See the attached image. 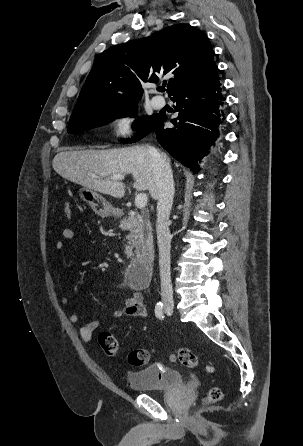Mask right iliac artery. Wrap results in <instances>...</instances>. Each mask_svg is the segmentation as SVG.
I'll return each instance as SVG.
<instances>
[{"mask_svg":"<svg viewBox=\"0 0 303 446\" xmlns=\"http://www.w3.org/2000/svg\"><path fill=\"white\" fill-rule=\"evenodd\" d=\"M155 315L159 319L164 318V309H163V304L161 302H158L155 306Z\"/></svg>","mask_w":303,"mask_h":446,"instance_id":"obj_1","label":"right iliac artery"}]
</instances>
